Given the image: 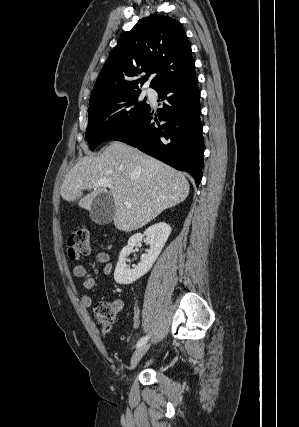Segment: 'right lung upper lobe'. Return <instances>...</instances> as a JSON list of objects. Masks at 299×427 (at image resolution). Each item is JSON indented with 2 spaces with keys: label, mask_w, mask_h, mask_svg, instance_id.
<instances>
[{
  "label": "right lung upper lobe",
  "mask_w": 299,
  "mask_h": 427,
  "mask_svg": "<svg viewBox=\"0 0 299 427\" xmlns=\"http://www.w3.org/2000/svg\"><path fill=\"white\" fill-rule=\"evenodd\" d=\"M151 73L157 74L150 84L155 90L195 73L185 31L177 20L160 14L143 19L120 38L94 85L89 104L140 91Z\"/></svg>",
  "instance_id": "right-lung-upper-lobe-1"
}]
</instances>
